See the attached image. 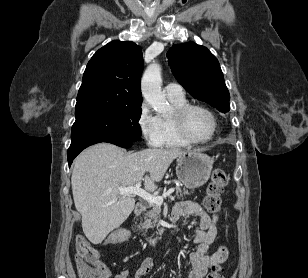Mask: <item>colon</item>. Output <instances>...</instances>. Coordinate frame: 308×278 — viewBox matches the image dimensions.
I'll return each instance as SVG.
<instances>
[{
    "mask_svg": "<svg viewBox=\"0 0 308 278\" xmlns=\"http://www.w3.org/2000/svg\"><path fill=\"white\" fill-rule=\"evenodd\" d=\"M228 183V175L222 169H215L211 181L207 187L204 198L205 208L212 214L219 213L221 209V197ZM130 235L128 226L117 228L110 236L112 242H126ZM100 252L84 236L76 238V259L80 278H98L102 263L99 260ZM207 278H224L221 265L212 267Z\"/></svg>",
    "mask_w": 308,
    "mask_h": 278,
    "instance_id": "colon-1",
    "label": "colon"
}]
</instances>
